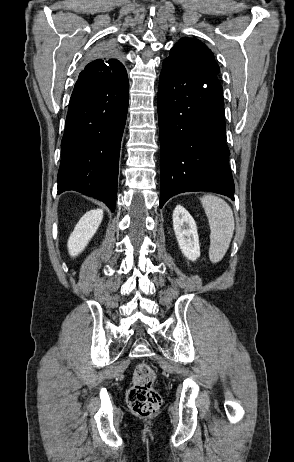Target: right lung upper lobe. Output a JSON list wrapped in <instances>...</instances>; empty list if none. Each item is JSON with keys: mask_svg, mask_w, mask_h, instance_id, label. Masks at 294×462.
<instances>
[{"mask_svg": "<svg viewBox=\"0 0 294 462\" xmlns=\"http://www.w3.org/2000/svg\"><path fill=\"white\" fill-rule=\"evenodd\" d=\"M126 74L125 67L116 58L114 50H108L93 56L92 60L79 74L75 88H89L108 83Z\"/></svg>", "mask_w": 294, "mask_h": 462, "instance_id": "cb5924a9", "label": "right lung upper lobe"}]
</instances>
